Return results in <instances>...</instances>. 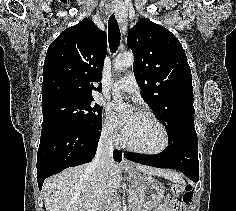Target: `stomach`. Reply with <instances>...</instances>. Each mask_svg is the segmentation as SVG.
Returning <instances> with one entry per match:
<instances>
[{"label": "stomach", "instance_id": "obj_1", "mask_svg": "<svg viewBox=\"0 0 236 211\" xmlns=\"http://www.w3.org/2000/svg\"><path fill=\"white\" fill-rule=\"evenodd\" d=\"M134 177L137 193L144 211H152L164 197V187L150 175L141 176L138 172L128 170Z\"/></svg>", "mask_w": 236, "mask_h": 211}]
</instances>
